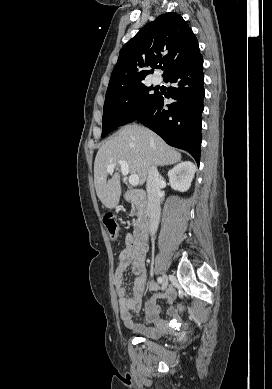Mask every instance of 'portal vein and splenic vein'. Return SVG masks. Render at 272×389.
<instances>
[{
    "label": "portal vein and splenic vein",
    "mask_w": 272,
    "mask_h": 389,
    "mask_svg": "<svg viewBox=\"0 0 272 389\" xmlns=\"http://www.w3.org/2000/svg\"><path fill=\"white\" fill-rule=\"evenodd\" d=\"M118 164H119L120 167H121V172H122V174H123L124 176L128 175V173H129V165H128V163L125 162V161L120 160V161H118ZM115 166H116L115 163L109 165L108 168H107V172H108L109 174H112L113 171H114ZM128 181H129V183H130L132 186H136V185L139 184V177H138L137 174H131V175L129 176Z\"/></svg>",
    "instance_id": "1"
}]
</instances>
